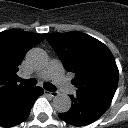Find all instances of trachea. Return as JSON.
<instances>
[{
	"mask_svg": "<svg viewBox=\"0 0 128 128\" xmlns=\"http://www.w3.org/2000/svg\"><path fill=\"white\" fill-rule=\"evenodd\" d=\"M18 81L21 82L23 85L28 86V87H33V86L36 85V80L35 79L18 78ZM44 88L47 91H51V92L56 90V87L53 84L49 83V82L44 83Z\"/></svg>",
	"mask_w": 128,
	"mask_h": 128,
	"instance_id": "1",
	"label": "trachea"
}]
</instances>
